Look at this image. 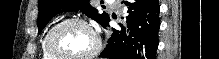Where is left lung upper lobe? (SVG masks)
I'll use <instances>...</instances> for the list:
<instances>
[{"mask_svg":"<svg viewBox=\"0 0 219 59\" xmlns=\"http://www.w3.org/2000/svg\"><path fill=\"white\" fill-rule=\"evenodd\" d=\"M38 8V33L42 31L55 15L61 12H77L80 10L102 26L109 19V15L106 12L99 14L98 10L91 5L89 0H39Z\"/></svg>","mask_w":219,"mask_h":59,"instance_id":"5c2ea615","label":"left lung upper lobe"}]
</instances>
